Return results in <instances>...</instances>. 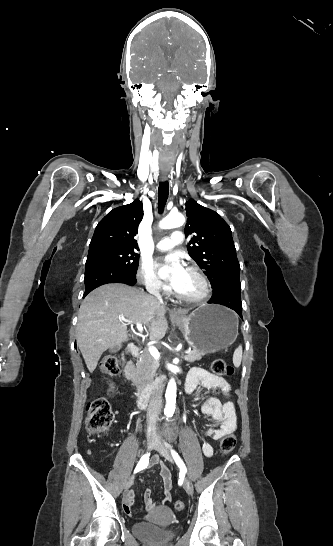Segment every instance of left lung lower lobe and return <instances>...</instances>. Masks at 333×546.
<instances>
[{
    "instance_id": "left-lung-lower-lobe-1",
    "label": "left lung lower lobe",
    "mask_w": 333,
    "mask_h": 546,
    "mask_svg": "<svg viewBox=\"0 0 333 546\" xmlns=\"http://www.w3.org/2000/svg\"><path fill=\"white\" fill-rule=\"evenodd\" d=\"M213 296L208 303L221 304L233 309L242 318L241 284L239 278L224 280L213 288Z\"/></svg>"
}]
</instances>
